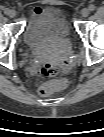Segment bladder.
<instances>
[{"mask_svg":"<svg viewBox=\"0 0 104 137\" xmlns=\"http://www.w3.org/2000/svg\"><path fill=\"white\" fill-rule=\"evenodd\" d=\"M45 24L39 29L30 27L23 32V41L30 53L46 60H56L67 55L73 47L70 25L63 13L54 7L40 15Z\"/></svg>","mask_w":104,"mask_h":137,"instance_id":"1","label":"bladder"}]
</instances>
